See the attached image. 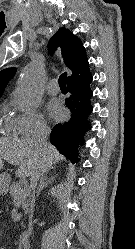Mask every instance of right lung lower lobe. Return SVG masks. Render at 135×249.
I'll list each match as a JSON object with an SVG mask.
<instances>
[{
	"label": "right lung lower lobe",
	"instance_id": "98d812e1",
	"mask_svg": "<svg viewBox=\"0 0 135 249\" xmlns=\"http://www.w3.org/2000/svg\"><path fill=\"white\" fill-rule=\"evenodd\" d=\"M91 82L92 75L89 74L80 81L68 84L70 96L66 99V105L71 112L70 118L62 124H57L51 132V143L61 154L69 156L72 162L80 160L78 147L83 143L82 136L89 128L87 117L93 109L90 105L93 96Z\"/></svg>",
	"mask_w": 135,
	"mask_h": 249
}]
</instances>
